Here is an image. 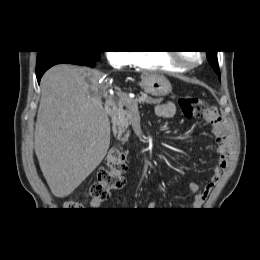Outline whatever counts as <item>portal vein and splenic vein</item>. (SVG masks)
Here are the masks:
<instances>
[{"label":"portal vein and splenic vein","instance_id":"portal-vein-and-splenic-vein-1","mask_svg":"<svg viewBox=\"0 0 260 260\" xmlns=\"http://www.w3.org/2000/svg\"><path fill=\"white\" fill-rule=\"evenodd\" d=\"M117 96L119 97V99L128 102V96H127L125 93L119 91V92H117ZM137 109H138V105H135V106H134V110H137Z\"/></svg>","mask_w":260,"mask_h":260}]
</instances>
